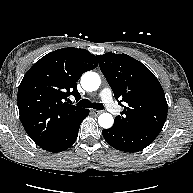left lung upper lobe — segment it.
<instances>
[{
	"label": "left lung upper lobe",
	"instance_id": "obj_1",
	"mask_svg": "<svg viewBox=\"0 0 193 193\" xmlns=\"http://www.w3.org/2000/svg\"><path fill=\"white\" fill-rule=\"evenodd\" d=\"M100 69L115 98L126 103L114 125L129 131L161 130L167 117V102L162 86L141 62L126 55L106 53L96 56Z\"/></svg>",
	"mask_w": 193,
	"mask_h": 193
}]
</instances>
